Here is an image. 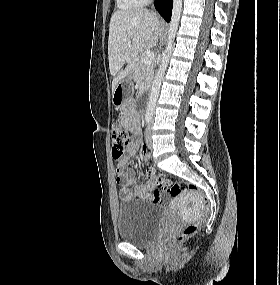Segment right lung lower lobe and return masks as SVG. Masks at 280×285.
I'll list each match as a JSON object with an SVG mask.
<instances>
[{
  "mask_svg": "<svg viewBox=\"0 0 280 285\" xmlns=\"http://www.w3.org/2000/svg\"><path fill=\"white\" fill-rule=\"evenodd\" d=\"M173 0H156L155 8L161 14V16L170 22L172 12Z\"/></svg>",
  "mask_w": 280,
  "mask_h": 285,
  "instance_id": "obj_1",
  "label": "right lung lower lobe"
}]
</instances>
